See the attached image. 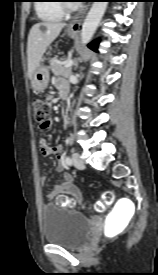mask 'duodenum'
Masks as SVG:
<instances>
[{
  "mask_svg": "<svg viewBox=\"0 0 158 275\" xmlns=\"http://www.w3.org/2000/svg\"><path fill=\"white\" fill-rule=\"evenodd\" d=\"M68 93H69V87H64L60 90V96L62 98H65L68 96Z\"/></svg>",
  "mask_w": 158,
  "mask_h": 275,
  "instance_id": "duodenum-1",
  "label": "duodenum"
}]
</instances>
